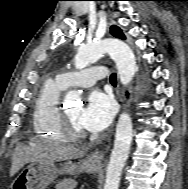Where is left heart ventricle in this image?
<instances>
[{"label": "left heart ventricle", "mask_w": 188, "mask_h": 189, "mask_svg": "<svg viewBox=\"0 0 188 189\" xmlns=\"http://www.w3.org/2000/svg\"><path fill=\"white\" fill-rule=\"evenodd\" d=\"M72 124L78 128V129H82V127L79 124L78 118H79V114L81 112V107L80 106H75V107H71L69 109L66 110Z\"/></svg>", "instance_id": "1"}]
</instances>
